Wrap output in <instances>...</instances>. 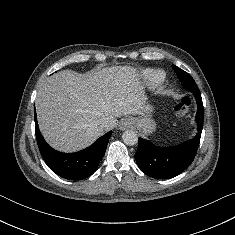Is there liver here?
I'll return each mask as SVG.
<instances>
[{
    "label": "liver",
    "mask_w": 235,
    "mask_h": 235,
    "mask_svg": "<svg viewBox=\"0 0 235 235\" xmlns=\"http://www.w3.org/2000/svg\"><path fill=\"white\" fill-rule=\"evenodd\" d=\"M35 104L45 140L59 151L75 152L116 127L117 117L142 114L146 96L136 69L114 66L87 74L58 72L44 81ZM103 120L107 128L100 127Z\"/></svg>",
    "instance_id": "6515ba94"
}]
</instances>
